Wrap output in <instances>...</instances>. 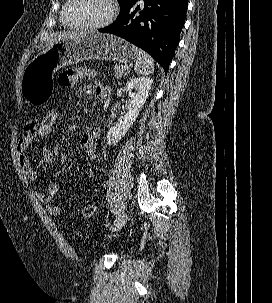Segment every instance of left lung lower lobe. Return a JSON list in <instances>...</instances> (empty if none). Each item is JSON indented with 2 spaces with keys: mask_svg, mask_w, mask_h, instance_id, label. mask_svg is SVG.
Masks as SVG:
<instances>
[{
  "mask_svg": "<svg viewBox=\"0 0 272 303\" xmlns=\"http://www.w3.org/2000/svg\"><path fill=\"white\" fill-rule=\"evenodd\" d=\"M144 3L143 9L135 3L113 24L99 31L120 36L142 48L167 73L185 23L188 0H144Z\"/></svg>",
  "mask_w": 272,
  "mask_h": 303,
  "instance_id": "1",
  "label": "left lung lower lobe"
}]
</instances>
